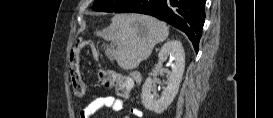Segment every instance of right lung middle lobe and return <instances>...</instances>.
Masks as SVG:
<instances>
[{
  "label": "right lung middle lobe",
  "mask_w": 273,
  "mask_h": 118,
  "mask_svg": "<svg viewBox=\"0 0 273 118\" xmlns=\"http://www.w3.org/2000/svg\"><path fill=\"white\" fill-rule=\"evenodd\" d=\"M129 0H95L92 9L99 12H116Z\"/></svg>",
  "instance_id": "right-lung-middle-lobe-1"
}]
</instances>
